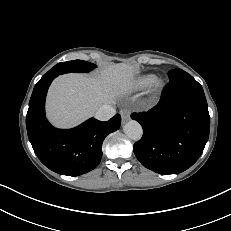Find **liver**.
<instances>
[{"label": "liver", "mask_w": 231, "mask_h": 231, "mask_svg": "<svg viewBox=\"0 0 231 231\" xmlns=\"http://www.w3.org/2000/svg\"><path fill=\"white\" fill-rule=\"evenodd\" d=\"M136 69L127 64H114L99 75L65 74L57 77L48 91L46 109L49 120L59 128L80 124L104 104H114L119 96L129 93Z\"/></svg>", "instance_id": "1"}]
</instances>
